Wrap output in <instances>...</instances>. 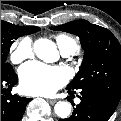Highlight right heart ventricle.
I'll use <instances>...</instances> for the list:
<instances>
[{
    "label": "right heart ventricle",
    "mask_w": 121,
    "mask_h": 121,
    "mask_svg": "<svg viewBox=\"0 0 121 121\" xmlns=\"http://www.w3.org/2000/svg\"><path fill=\"white\" fill-rule=\"evenodd\" d=\"M56 42L60 48V50L63 49H68V48H73L75 50H77V44L75 42V40L69 36L66 35H58L56 37Z\"/></svg>",
    "instance_id": "right-heart-ventricle-1"
}]
</instances>
